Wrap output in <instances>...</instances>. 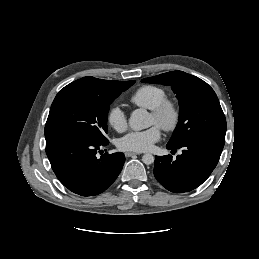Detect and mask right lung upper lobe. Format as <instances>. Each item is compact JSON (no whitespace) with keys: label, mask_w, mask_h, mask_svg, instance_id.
<instances>
[{"label":"right lung upper lobe","mask_w":259,"mask_h":259,"mask_svg":"<svg viewBox=\"0 0 259 259\" xmlns=\"http://www.w3.org/2000/svg\"><path fill=\"white\" fill-rule=\"evenodd\" d=\"M120 81L102 80L94 77H84L76 80L71 85L82 86L98 93H106L112 91Z\"/></svg>","instance_id":"obj_1"}]
</instances>
